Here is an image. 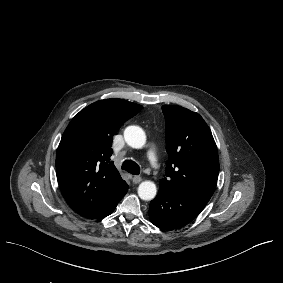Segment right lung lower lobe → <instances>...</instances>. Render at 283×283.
Here are the masks:
<instances>
[{
	"instance_id": "obj_1",
	"label": "right lung lower lobe",
	"mask_w": 283,
	"mask_h": 283,
	"mask_svg": "<svg viewBox=\"0 0 283 283\" xmlns=\"http://www.w3.org/2000/svg\"><path fill=\"white\" fill-rule=\"evenodd\" d=\"M127 190H128V188H127ZM127 190H126V192H127ZM118 203H119V201L110 210L102 213L101 215H99L98 217H95L93 219L103 218V217H106V216L110 215L114 211V209L116 208Z\"/></svg>"
}]
</instances>
